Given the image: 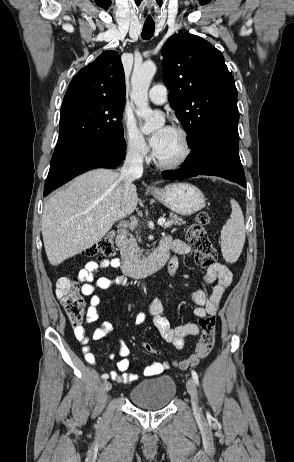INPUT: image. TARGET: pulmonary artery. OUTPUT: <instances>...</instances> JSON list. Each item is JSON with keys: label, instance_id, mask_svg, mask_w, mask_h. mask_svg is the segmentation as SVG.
<instances>
[{"label": "pulmonary artery", "instance_id": "1", "mask_svg": "<svg viewBox=\"0 0 294 462\" xmlns=\"http://www.w3.org/2000/svg\"><path fill=\"white\" fill-rule=\"evenodd\" d=\"M148 96L153 103L164 104L167 101V88L163 84H156L150 88Z\"/></svg>", "mask_w": 294, "mask_h": 462}]
</instances>
